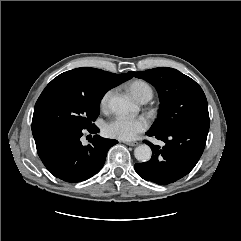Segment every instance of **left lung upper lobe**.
I'll return each instance as SVG.
<instances>
[{"label": "left lung upper lobe", "instance_id": "5c2ea615", "mask_svg": "<svg viewBox=\"0 0 241 241\" xmlns=\"http://www.w3.org/2000/svg\"><path fill=\"white\" fill-rule=\"evenodd\" d=\"M130 73L152 84L159 93L161 105L150 131L167 133L196 122H209L205 94L190 77L168 67Z\"/></svg>", "mask_w": 241, "mask_h": 241}]
</instances>
